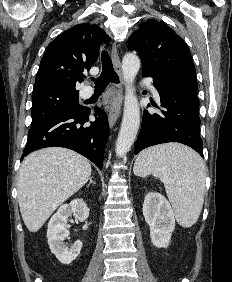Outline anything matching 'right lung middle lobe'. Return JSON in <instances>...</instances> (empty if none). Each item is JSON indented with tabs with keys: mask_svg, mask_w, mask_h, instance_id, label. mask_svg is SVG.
<instances>
[{
	"mask_svg": "<svg viewBox=\"0 0 232 282\" xmlns=\"http://www.w3.org/2000/svg\"><path fill=\"white\" fill-rule=\"evenodd\" d=\"M79 92L50 89L33 92L32 123L38 125L62 112H75L83 107L78 103Z\"/></svg>",
	"mask_w": 232,
	"mask_h": 282,
	"instance_id": "1",
	"label": "right lung middle lobe"
}]
</instances>
